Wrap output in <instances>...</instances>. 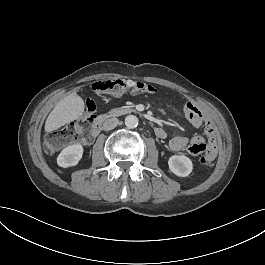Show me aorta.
Masks as SVG:
<instances>
[{
  "instance_id": "obj_1",
  "label": "aorta",
  "mask_w": 265,
  "mask_h": 265,
  "mask_svg": "<svg viewBox=\"0 0 265 265\" xmlns=\"http://www.w3.org/2000/svg\"><path fill=\"white\" fill-rule=\"evenodd\" d=\"M125 125L129 129L135 128L138 126V118L135 115H128L125 118Z\"/></svg>"
}]
</instances>
